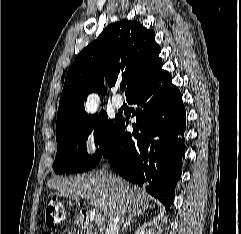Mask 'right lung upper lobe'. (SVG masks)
<instances>
[{
  "instance_id": "cb5924a9",
  "label": "right lung upper lobe",
  "mask_w": 241,
  "mask_h": 234,
  "mask_svg": "<svg viewBox=\"0 0 241 234\" xmlns=\"http://www.w3.org/2000/svg\"><path fill=\"white\" fill-rule=\"evenodd\" d=\"M160 51L154 31L139 22L122 20L108 25L69 68L59 102L56 132L90 117L85 112L84 100L92 92L106 93L104 79L110 87L125 81L128 98L162 67Z\"/></svg>"
}]
</instances>
